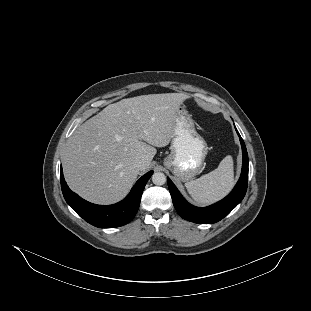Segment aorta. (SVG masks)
I'll return each instance as SVG.
<instances>
[{
  "label": "aorta",
  "instance_id": "1",
  "mask_svg": "<svg viewBox=\"0 0 311 311\" xmlns=\"http://www.w3.org/2000/svg\"><path fill=\"white\" fill-rule=\"evenodd\" d=\"M167 181L166 175L162 172H155L152 175V182L154 185L161 186L164 185Z\"/></svg>",
  "mask_w": 311,
  "mask_h": 311
}]
</instances>
